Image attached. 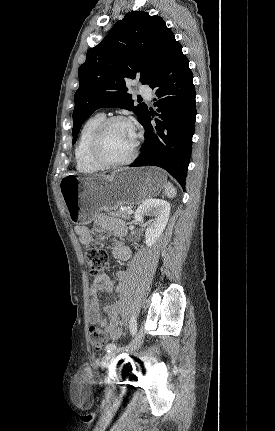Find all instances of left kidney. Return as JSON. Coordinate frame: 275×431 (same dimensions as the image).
<instances>
[{"label":"left kidney","mask_w":275,"mask_h":431,"mask_svg":"<svg viewBox=\"0 0 275 431\" xmlns=\"http://www.w3.org/2000/svg\"><path fill=\"white\" fill-rule=\"evenodd\" d=\"M170 214L169 202L161 199H148L144 201L135 212V220L143 222L144 216L154 217L147 225L145 231V243L152 246L165 229Z\"/></svg>","instance_id":"left-kidney-1"}]
</instances>
